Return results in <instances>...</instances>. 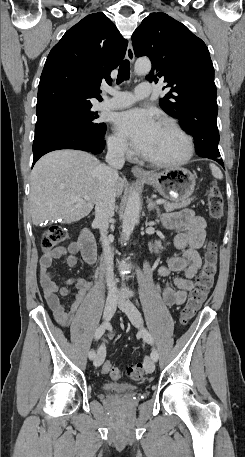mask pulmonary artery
<instances>
[{
  "label": "pulmonary artery",
  "instance_id": "e3ab8cb5",
  "mask_svg": "<svg viewBox=\"0 0 245 457\" xmlns=\"http://www.w3.org/2000/svg\"><path fill=\"white\" fill-rule=\"evenodd\" d=\"M152 82L151 80H141L140 86L135 87V97L129 92H119L110 88H106L105 91L112 95L97 105L98 109H121L130 106L137 100H147L148 95L152 93Z\"/></svg>",
  "mask_w": 245,
  "mask_h": 457
}]
</instances>
